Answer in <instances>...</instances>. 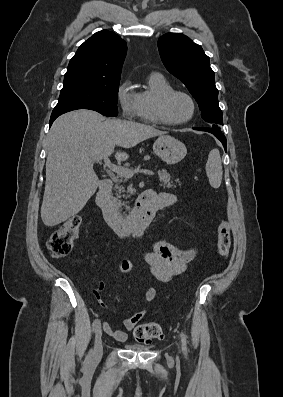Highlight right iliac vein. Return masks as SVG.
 <instances>
[{
    "instance_id": "right-iliac-vein-1",
    "label": "right iliac vein",
    "mask_w": 283,
    "mask_h": 397,
    "mask_svg": "<svg viewBox=\"0 0 283 397\" xmlns=\"http://www.w3.org/2000/svg\"><path fill=\"white\" fill-rule=\"evenodd\" d=\"M103 353V342H102V330L101 326L98 328L96 331V337H95V347L93 351V358L95 360H98L101 358Z\"/></svg>"
}]
</instances>
